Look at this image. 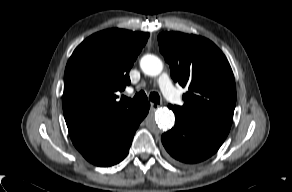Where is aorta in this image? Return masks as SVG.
I'll list each match as a JSON object with an SVG mask.
<instances>
[{"label": "aorta", "instance_id": "1", "mask_svg": "<svg viewBox=\"0 0 292 192\" xmlns=\"http://www.w3.org/2000/svg\"><path fill=\"white\" fill-rule=\"evenodd\" d=\"M140 68L144 74L149 76H158L163 70V63L155 55L146 54L140 60ZM175 122L174 113L168 109H159L155 113V118L147 121V127L151 131L170 129Z\"/></svg>", "mask_w": 292, "mask_h": 192}]
</instances>
